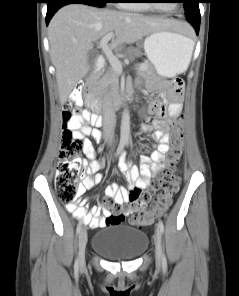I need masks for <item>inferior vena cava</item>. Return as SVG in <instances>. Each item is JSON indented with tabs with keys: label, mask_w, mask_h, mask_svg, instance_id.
Instances as JSON below:
<instances>
[{
	"label": "inferior vena cava",
	"mask_w": 239,
	"mask_h": 296,
	"mask_svg": "<svg viewBox=\"0 0 239 296\" xmlns=\"http://www.w3.org/2000/svg\"><path fill=\"white\" fill-rule=\"evenodd\" d=\"M116 123V115L112 105L110 95L103 98V132L107 139L112 140Z\"/></svg>",
	"instance_id": "602c4592"
}]
</instances>
